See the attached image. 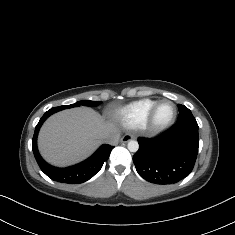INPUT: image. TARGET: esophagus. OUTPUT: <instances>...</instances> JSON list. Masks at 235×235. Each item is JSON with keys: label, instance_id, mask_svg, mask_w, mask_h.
I'll return each mask as SVG.
<instances>
[{"label": "esophagus", "instance_id": "1", "mask_svg": "<svg viewBox=\"0 0 235 235\" xmlns=\"http://www.w3.org/2000/svg\"><path fill=\"white\" fill-rule=\"evenodd\" d=\"M135 138V136L134 135H132V134H125L121 139H120V142L121 143H127L128 141H130V140H132V139H134Z\"/></svg>", "mask_w": 235, "mask_h": 235}]
</instances>
